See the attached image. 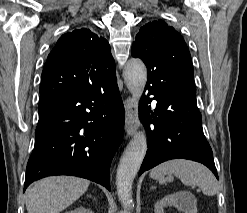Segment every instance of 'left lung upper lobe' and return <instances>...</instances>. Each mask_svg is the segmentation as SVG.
Instances as JSON below:
<instances>
[{
	"label": "left lung upper lobe",
	"instance_id": "obj_1",
	"mask_svg": "<svg viewBox=\"0 0 247 213\" xmlns=\"http://www.w3.org/2000/svg\"><path fill=\"white\" fill-rule=\"evenodd\" d=\"M131 54L143 60L148 77L162 81L178 74L194 85V71L190 52L183 37L164 21H151L140 28Z\"/></svg>",
	"mask_w": 247,
	"mask_h": 213
}]
</instances>
